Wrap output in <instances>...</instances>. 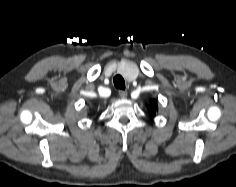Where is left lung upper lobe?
I'll return each instance as SVG.
<instances>
[{
  "label": "left lung upper lobe",
  "mask_w": 236,
  "mask_h": 187,
  "mask_svg": "<svg viewBox=\"0 0 236 187\" xmlns=\"http://www.w3.org/2000/svg\"><path fill=\"white\" fill-rule=\"evenodd\" d=\"M147 109L152 117L155 116V112L157 111L158 106L154 99L150 100L149 105L147 106Z\"/></svg>",
  "instance_id": "1"
}]
</instances>
